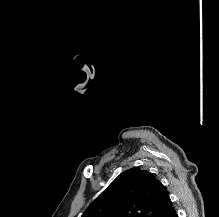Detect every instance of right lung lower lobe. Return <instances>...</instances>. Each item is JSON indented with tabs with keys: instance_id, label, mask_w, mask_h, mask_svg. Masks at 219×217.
<instances>
[{
	"instance_id": "obj_1",
	"label": "right lung lower lobe",
	"mask_w": 219,
	"mask_h": 217,
	"mask_svg": "<svg viewBox=\"0 0 219 217\" xmlns=\"http://www.w3.org/2000/svg\"><path fill=\"white\" fill-rule=\"evenodd\" d=\"M166 217H178L176 211L174 208H172L169 213L166 215Z\"/></svg>"
}]
</instances>
